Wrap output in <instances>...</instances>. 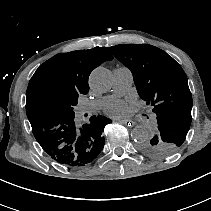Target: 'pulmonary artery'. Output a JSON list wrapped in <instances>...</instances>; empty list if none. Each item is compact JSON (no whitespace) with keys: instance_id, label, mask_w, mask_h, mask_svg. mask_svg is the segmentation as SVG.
Instances as JSON below:
<instances>
[{"instance_id":"obj_1","label":"pulmonary artery","mask_w":211,"mask_h":211,"mask_svg":"<svg viewBox=\"0 0 211 211\" xmlns=\"http://www.w3.org/2000/svg\"><path fill=\"white\" fill-rule=\"evenodd\" d=\"M113 73L115 78L113 92L117 95L124 94L130 89L134 81L131 69L126 66L116 67ZM106 102L107 98L87 101L79 104L78 110L82 114H90L102 108Z\"/></svg>"}]
</instances>
